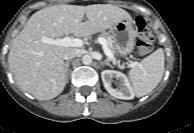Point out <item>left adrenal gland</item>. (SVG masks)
<instances>
[{
	"instance_id": "1",
	"label": "left adrenal gland",
	"mask_w": 194,
	"mask_h": 133,
	"mask_svg": "<svg viewBox=\"0 0 194 133\" xmlns=\"http://www.w3.org/2000/svg\"><path fill=\"white\" fill-rule=\"evenodd\" d=\"M103 64H104V65H107V66H109V67H111V68L113 67L108 61H104Z\"/></svg>"
}]
</instances>
